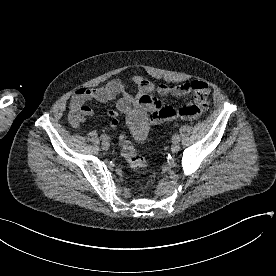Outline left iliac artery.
<instances>
[{
    "mask_svg": "<svg viewBox=\"0 0 276 276\" xmlns=\"http://www.w3.org/2000/svg\"><path fill=\"white\" fill-rule=\"evenodd\" d=\"M173 141H180V135L179 134H175L172 138Z\"/></svg>",
    "mask_w": 276,
    "mask_h": 276,
    "instance_id": "1",
    "label": "left iliac artery"
}]
</instances>
